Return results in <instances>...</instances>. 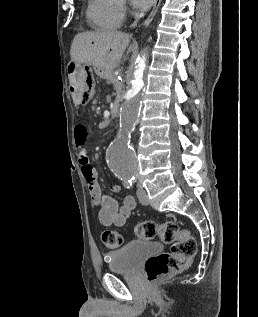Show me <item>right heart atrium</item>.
Masks as SVG:
<instances>
[{
    "instance_id": "right-heart-atrium-1",
    "label": "right heart atrium",
    "mask_w": 258,
    "mask_h": 317,
    "mask_svg": "<svg viewBox=\"0 0 258 317\" xmlns=\"http://www.w3.org/2000/svg\"><path fill=\"white\" fill-rule=\"evenodd\" d=\"M126 12H127V8H126V6L123 4V7H122V13H123V15H125Z\"/></svg>"
}]
</instances>
